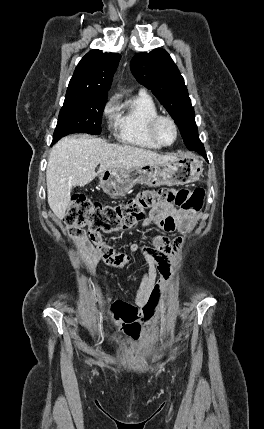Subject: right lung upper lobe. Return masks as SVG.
Listing matches in <instances>:
<instances>
[{
  "mask_svg": "<svg viewBox=\"0 0 264 429\" xmlns=\"http://www.w3.org/2000/svg\"><path fill=\"white\" fill-rule=\"evenodd\" d=\"M120 58L117 53L89 51L78 63L66 96L107 97Z\"/></svg>",
  "mask_w": 264,
  "mask_h": 429,
  "instance_id": "cb5924a9",
  "label": "right lung upper lobe"
}]
</instances>
